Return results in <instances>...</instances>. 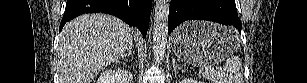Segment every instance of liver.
Listing matches in <instances>:
<instances>
[{"instance_id":"6515ba94","label":"liver","mask_w":307,"mask_h":83,"mask_svg":"<svg viewBox=\"0 0 307 83\" xmlns=\"http://www.w3.org/2000/svg\"><path fill=\"white\" fill-rule=\"evenodd\" d=\"M134 32L106 14H84L67 22L57 50L59 83H91L133 46Z\"/></svg>"}]
</instances>
